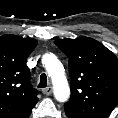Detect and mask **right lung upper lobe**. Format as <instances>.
<instances>
[{
    "label": "right lung upper lobe",
    "instance_id": "cb5924a9",
    "mask_svg": "<svg viewBox=\"0 0 118 118\" xmlns=\"http://www.w3.org/2000/svg\"><path fill=\"white\" fill-rule=\"evenodd\" d=\"M36 45L32 38L0 37V118H28L38 102L25 64Z\"/></svg>",
    "mask_w": 118,
    "mask_h": 118
}]
</instances>
